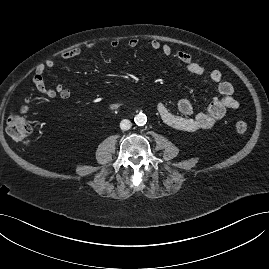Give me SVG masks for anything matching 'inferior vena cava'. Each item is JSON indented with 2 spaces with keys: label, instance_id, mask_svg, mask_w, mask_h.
I'll list each match as a JSON object with an SVG mask.
<instances>
[{
  "label": "inferior vena cava",
  "instance_id": "obj_1",
  "mask_svg": "<svg viewBox=\"0 0 269 269\" xmlns=\"http://www.w3.org/2000/svg\"><path fill=\"white\" fill-rule=\"evenodd\" d=\"M131 126H132L131 122L127 119L122 120L120 123V128L122 130H129Z\"/></svg>",
  "mask_w": 269,
  "mask_h": 269
}]
</instances>
